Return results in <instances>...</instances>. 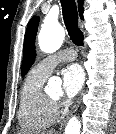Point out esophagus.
<instances>
[{
  "label": "esophagus",
  "instance_id": "1",
  "mask_svg": "<svg viewBox=\"0 0 116 134\" xmlns=\"http://www.w3.org/2000/svg\"><path fill=\"white\" fill-rule=\"evenodd\" d=\"M84 95V90L81 91L80 96L78 97L77 101L75 102L73 108L71 109L70 113L66 116V118L61 122L60 125V130H62V128L66 125L67 121L69 120V118L76 112V110L78 109L82 97Z\"/></svg>",
  "mask_w": 116,
  "mask_h": 134
}]
</instances>
